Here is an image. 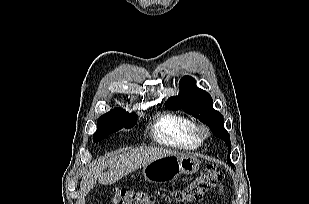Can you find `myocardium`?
<instances>
[{
	"label": "myocardium",
	"mask_w": 309,
	"mask_h": 204,
	"mask_svg": "<svg viewBox=\"0 0 309 204\" xmlns=\"http://www.w3.org/2000/svg\"><path fill=\"white\" fill-rule=\"evenodd\" d=\"M194 132L199 139H205L210 135L208 127L200 122L194 124Z\"/></svg>",
	"instance_id": "1"
}]
</instances>
